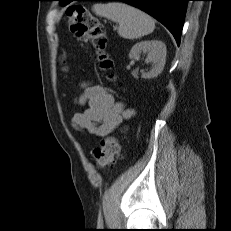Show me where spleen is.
Masks as SVG:
<instances>
[{
    "mask_svg": "<svg viewBox=\"0 0 231 231\" xmlns=\"http://www.w3.org/2000/svg\"><path fill=\"white\" fill-rule=\"evenodd\" d=\"M93 12L119 24L118 34L125 39H138L154 31L155 21L148 14L121 2L96 3Z\"/></svg>",
    "mask_w": 231,
    "mask_h": 231,
    "instance_id": "spleen-1",
    "label": "spleen"
}]
</instances>
